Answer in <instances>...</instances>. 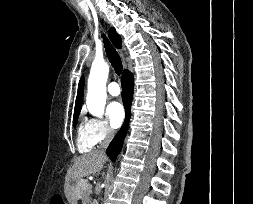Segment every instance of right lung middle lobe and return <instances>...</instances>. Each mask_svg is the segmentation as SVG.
I'll return each instance as SVG.
<instances>
[{"label":"right lung middle lobe","instance_id":"right-lung-middle-lobe-1","mask_svg":"<svg viewBox=\"0 0 253 204\" xmlns=\"http://www.w3.org/2000/svg\"><path fill=\"white\" fill-rule=\"evenodd\" d=\"M78 116H79V115H75L74 118H73L74 127H75V125H76V123H77Z\"/></svg>","mask_w":253,"mask_h":204}]
</instances>
